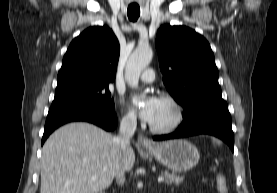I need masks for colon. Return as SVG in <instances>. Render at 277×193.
<instances>
[{
  "instance_id": "1",
  "label": "colon",
  "mask_w": 277,
  "mask_h": 193,
  "mask_svg": "<svg viewBox=\"0 0 277 193\" xmlns=\"http://www.w3.org/2000/svg\"><path fill=\"white\" fill-rule=\"evenodd\" d=\"M215 184L218 193H228V183L224 175L218 174L215 177Z\"/></svg>"
}]
</instances>
